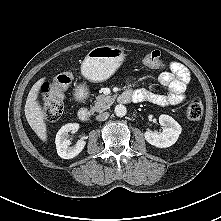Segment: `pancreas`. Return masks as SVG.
Masks as SVG:
<instances>
[{
    "mask_svg": "<svg viewBox=\"0 0 221 221\" xmlns=\"http://www.w3.org/2000/svg\"><path fill=\"white\" fill-rule=\"evenodd\" d=\"M115 96L98 95L95 100V105L92 108L93 111L102 112L113 104Z\"/></svg>",
    "mask_w": 221,
    "mask_h": 221,
    "instance_id": "cf45deb5",
    "label": "pancreas"
}]
</instances>
